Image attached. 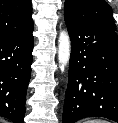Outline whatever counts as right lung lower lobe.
Returning a JSON list of instances; mask_svg holds the SVG:
<instances>
[{
    "instance_id": "1",
    "label": "right lung lower lobe",
    "mask_w": 118,
    "mask_h": 123,
    "mask_svg": "<svg viewBox=\"0 0 118 123\" xmlns=\"http://www.w3.org/2000/svg\"><path fill=\"white\" fill-rule=\"evenodd\" d=\"M33 27L0 39V116L23 123L25 97L31 76Z\"/></svg>"
}]
</instances>
